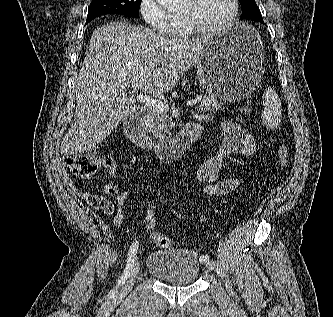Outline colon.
<instances>
[{
  "label": "colon",
  "mask_w": 333,
  "mask_h": 317,
  "mask_svg": "<svg viewBox=\"0 0 333 317\" xmlns=\"http://www.w3.org/2000/svg\"><path fill=\"white\" fill-rule=\"evenodd\" d=\"M244 115L251 114L250 107L241 108ZM289 149L283 142L279 143L278 159L281 166L285 167L288 163ZM66 164L71 173L81 179L89 180L93 178L100 168V158L96 151L92 150L84 154L69 156L66 158ZM161 215V209L158 206L151 207L145 215L146 228L150 231L153 243L160 248H170L173 241L168 236L160 234L157 231V224Z\"/></svg>",
  "instance_id": "colon-1"
}]
</instances>
